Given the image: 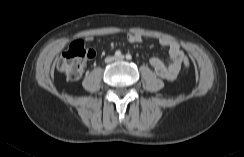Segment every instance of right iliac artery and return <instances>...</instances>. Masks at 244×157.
Wrapping results in <instances>:
<instances>
[{
    "instance_id": "right-iliac-artery-1",
    "label": "right iliac artery",
    "mask_w": 244,
    "mask_h": 157,
    "mask_svg": "<svg viewBox=\"0 0 244 157\" xmlns=\"http://www.w3.org/2000/svg\"><path fill=\"white\" fill-rule=\"evenodd\" d=\"M115 56H116V57L121 56V51L117 50V51L115 52Z\"/></svg>"
}]
</instances>
